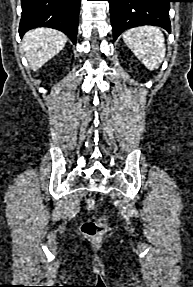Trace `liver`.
Masks as SVG:
<instances>
[{
    "label": "liver",
    "instance_id": "1",
    "mask_svg": "<svg viewBox=\"0 0 193 287\" xmlns=\"http://www.w3.org/2000/svg\"><path fill=\"white\" fill-rule=\"evenodd\" d=\"M67 36L55 29H33L23 37V48L32 70H38L65 46Z\"/></svg>",
    "mask_w": 193,
    "mask_h": 287
}]
</instances>
